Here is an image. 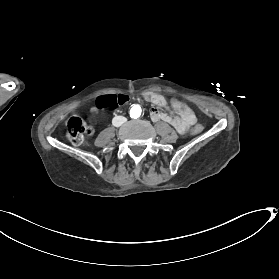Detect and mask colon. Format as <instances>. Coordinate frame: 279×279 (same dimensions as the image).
Wrapping results in <instances>:
<instances>
[{
	"label": "colon",
	"instance_id": "colon-1",
	"mask_svg": "<svg viewBox=\"0 0 279 279\" xmlns=\"http://www.w3.org/2000/svg\"><path fill=\"white\" fill-rule=\"evenodd\" d=\"M129 102V97L124 94H106L96 99V107L99 109L118 108ZM177 112L182 116L192 114L191 109L184 103L179 102L176 107ZM204 130L203 125L196 124L191 133L198 135ZM92 134V128L88 126L80 117L72 116L66 124L67 138L74 144L83 143Z\"/></svg>",
	"mask_w": 279,
	"mask_h": 279
}]
</instances>
